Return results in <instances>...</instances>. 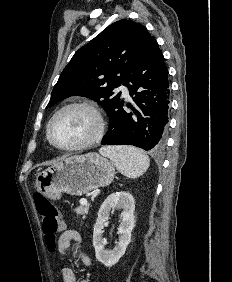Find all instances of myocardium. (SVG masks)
<instances>
[{
	"instance_id": "obj_1",
	"label": "myocardium",
	"mask_w": 232,
	"mask_h": 282,
	"mask_svg": "<svg viewBox=\"0 0 232 282\" xmlns=\"http://www.w3.org/2000/svg\"><path fill=\"white\" fill-rule=\"evenodd\" d=\"M72 108H82V109H86V110L90 111L96 118L97 129H96V132L94 133V135L84 142H81V143L75 144V145H70V146H62V145L57 144L52 137V132H51L52 125H53V122L55 121V119L60 114H62L66 110H69V109H72ZM104 131H105V122H104L103 116H102L100 110L97 108V106L95 104H93L92 102H89V101H76V102L67 103V104L63 105L62 107H60L58 110L55 111V113L51 116V118L49 119V121L47 123L46 135H47V139H48L49 143L54 148H56L58 150H62V151H77V150H83V149L89 148V147L97 144L102 139V137L104 135Z\"/></svg>"
}]
</instances>
